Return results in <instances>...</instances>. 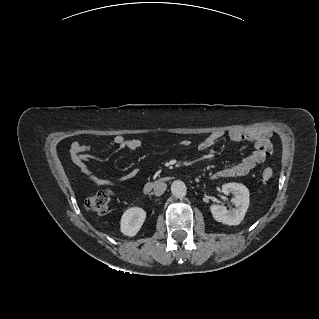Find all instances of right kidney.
<instances>
[{
  "mask_svg": "<svg viewBox=\"0 0 319 319\" xmlns=\"http://www.w3.org/2000/svg\"><path fill=\"white\" fill-rule=\"evenodd\" d=\"M145 218L146 212L142 208L131 207L127 209L121 218V232L126 236H135L142 227Z\"/></svg>",
  "mask_w": 319,
  "mask_h": 319,
  "instance_id": "obj_1",
  "label": "right kidney"
}]
</instances>
